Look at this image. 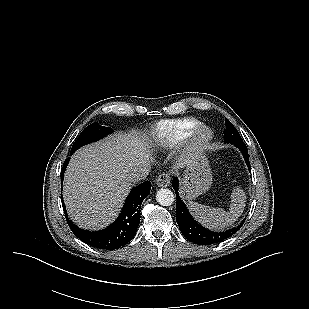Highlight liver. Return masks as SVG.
I'll return each mask as SVG.
<instances>
[{
    "mask_svg": "<svg viewBox=\"0 0 309 309\" xmlns=\"http://www.w3.org/2000/svg\"><path fill=\"white\" fill-rule=\"evenodd\" d=\"M148 145L137 135L118 133L79 149L64 179L63 197L71 219L86 229H101L117 217L133 181L130 173L147 167ZM180 157L175 168L187 164Z\"/></svg>",
    "mask_w": 309,
    "mask_h": 309,
    "instance_id": "liver-1",
    "label": "liver"
}]
</instances>
